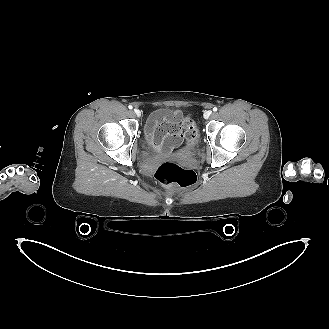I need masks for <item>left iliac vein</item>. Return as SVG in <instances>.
Instances as JSON below:
<instances>
[{
    "mask_svg": "<svg viewBox=\"0 0 329 329\" xmlns=\"http://www.w3.org/2000/svg\"><path fill=\"white\" fill-rule=\"evenodd\" d=\"M211 113H212L211 110L205 111L203 117H204L205 119H208V118L210 117Z\"/></svg>",
    "mask_w": 329,
    "mask_h": 329,
    "instance_id": "1",
    "label": "left iliac vein"
}]
</instances>
